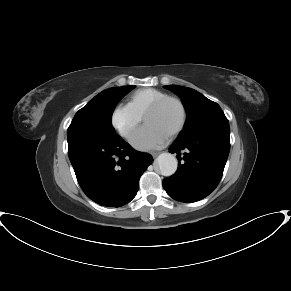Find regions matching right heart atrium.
Masks as SVG:
<instances>
[{
  "mask_svg": "<svg viewBox=\"0 0 291 291\" xmlns=\"http://www.w3.org/2000/svg\"><path fill=\"white\" fill-rule=\"evenodd\" d=\"M141 121L142 116L129 104L116 105L111 115L112 126L124 138H130Z\"/></svg>",
  "mask_w": 291,
  "mask_h": 291,
  "instance_id": "1",
  "label": "right heart atrium"
}]
</instances>
